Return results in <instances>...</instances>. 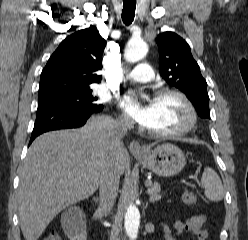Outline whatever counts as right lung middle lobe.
<instances>
[{"label":"right lung middle lobe","instance_id":"1","mask_svg":"<svg viewBox=\"0 0 248 240\" xmlns=\"http://www.w3.org/2000/svg\"><path fill=\"white\" fill-rule=\"evenodd\" d=\"M97 98L92 96V90L87 89L77 93L38 97V106L62 105L76 108H98Z\"/></svg>","mask_w":248,"mask_h":240}]
</instances>
